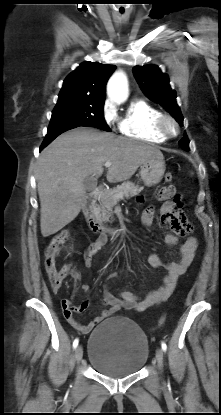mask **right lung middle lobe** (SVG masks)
I'll return each instance as SVG.
<instances>
[{
	"label": "right lung middle lobe",
	"instance_id": "dd1d6c3e",
	"mask_svg": "<svg viewBox=\"0 0 221 415\" xmlns=\"http://www.w3.org/2000/svg\"><path fill=\"white\" fill-rule=\"evenodd\" d=\"M103 106V99L59 96L49 128L87 126L110 131L104 120Z\"/></svg>",
	"mask_w": 221,
	"mask_h": 415
}]
</instances>
